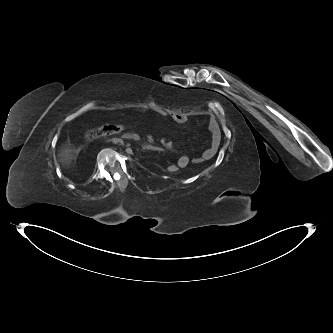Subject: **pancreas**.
<instances>
[{"label": "pancreas", "mask_w": 333, "mask_h": 333, "mask_svg": "<svg viewBox=\"0 0 333 333\" xmlns=\"http://www.w3.org/2000/svg\"><path fill=\"white\" fill-rule=\"evenodd\" d=\"M129 137H134L133 135H130Z\"/></svg>", "instance_id": "1"}]
</instances>
